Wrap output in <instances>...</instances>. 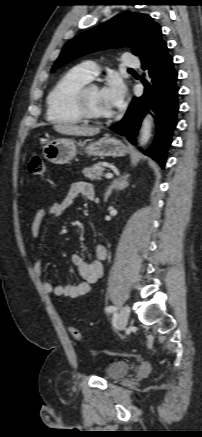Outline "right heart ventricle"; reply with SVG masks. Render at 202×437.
I'll return each mask as SVG.
<instances>
[{
    "instance_id": "1",
    "label": "right heart ventricle",
    "mask_w": 202,
    "mask_h": 437,
    "mask_svg": "<svg viewBox=\"0 0 202 437\" xmlns=\"http://www.w3.org/2000/svg\"><path fill=\"white\" fill-rule=\"evenodd\" d=\"M90 79L79 67L67 71L49 92L46 100L48 121L56 124H78L82 121L74 106L76 91Z\"/></svg>"
}]
</instances>
